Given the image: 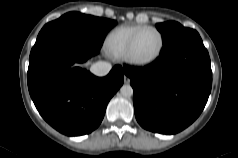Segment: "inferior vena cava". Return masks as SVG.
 I'll return each mask as SVG.
<instances>
[{
	"instance_id": "obj_1",
	"label": "inferior vena cava",
	"mask_w": 238,
	"mask_h": 158,
	"mask_svg": "<svg viewBox=\"0 0 238 158\" xmlns=\"http://www.w3.org/2000/svg\"><path fill=\"white\" fill-rule=\"evenodd\" d=\"M111 68L110 63L98 61L91 66L90 71L96 76H105L110 72Z\"/></svg>"
}]
</instances>
